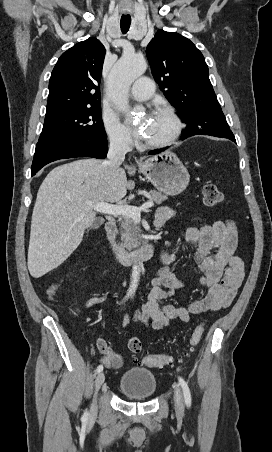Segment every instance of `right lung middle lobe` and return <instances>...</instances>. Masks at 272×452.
I'll return each instance as SVG.
<instances>
[{
    "instance_id": "1",
    "label": "right lung middle lobe",
    "mask_w": 272,
    "mask_h": 452,
    "mask_svg": "<svg viewBox=\"0 0 272 452\" xmlns=\"http://www.w3.org/2000/svg\"><path fill=\"white\" fill-rule=\"evenodd\" d=\"M107 139L99 105L60 110L46 114L39 142Z\"/></svg>"
}]
</instances>
